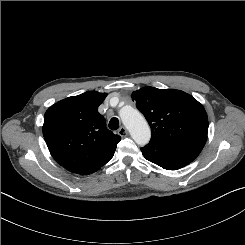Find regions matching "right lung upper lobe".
Masks as SVG:
<instances>
[{"mask_svg": "<svg viewBox=\"0 0 245 245\" xmlns=\"http://www.w3.org/2000/svg\"><path fill=\"white\" fill-rule=\"evenodd\" d=\"M106 96L88 91L57 102L45 113L42 130L48 149L70 172L89 175L114 155L121 138L106 128L97 111Z\"/></svg>", "mask_w": 245, "mask_h": 245, "instance_id": "right-lung-upper-lobe-1", "label": "right lung upper lobe"}]
</instances>
